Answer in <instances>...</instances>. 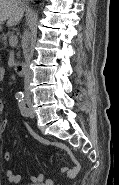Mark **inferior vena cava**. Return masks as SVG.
I'll use <instances>...</instances> for the list:
<instances>
[{"instance_id":"602c4592","label":"inferior vena cava","mask_w":119,"mask_h":185,"mask_svg":"<svg viewBox=\"0 0 119 185\" xmlns=\"http://www.w3.org/2000/svg\"><path fill=\"white\" fill-rule=\"evenodd\" d=\"M24 54H25V61L27 64V68H26L25 75H24L25 97L26 99H30V95H31L30 94V82L32 79V72L29 68V65L31 62L32 54L29 48V34L27 31H25L24 33Z\"/></svg>"}]
</instances>
